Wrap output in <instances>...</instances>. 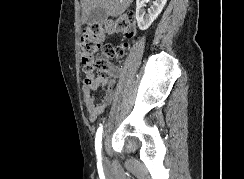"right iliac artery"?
<instances>
[{
	"mask_svg": "<svg viewBox=\"0 0 244 179\" xmlns=\"http://www.w3.org/2000/svg\"><path fill=\"white\" fill-rule=\"evenodd\" d=\"M102 125L98 128L95 138V149L98 160H101V148H102Z\"/></svg>",
	"mask_w": 244,
	"mask_h": 179,
	"instance_id": "obj_1",
	"label": "right iliac artery"
}]
</instances>
